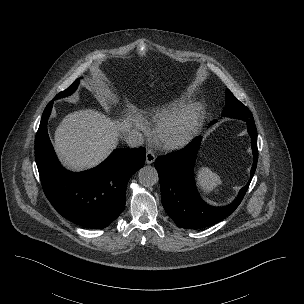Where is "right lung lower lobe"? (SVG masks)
<instances>
[{
	"label": "right lung lower lobe",
	"instance_id": "1",
	"mask_svg": "<svg viewBox=\"0 0 304 304\" xmlns=\"http://www.w3.org/2000/svg\"><path fill=\"white\" fill-rule=\"evenodd\" d=\"M53 100L35 139V159L44 193L63 217L86 228H105L124 210L130 177L145 163V148L116 149L99 166L73 173L64 169L47 132Z\"/></svg>",
	"mask_w": 304,
	"mask_h": 304
}]
</instances>
